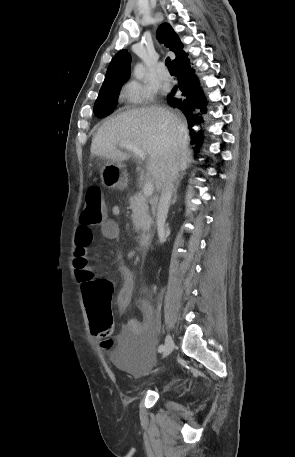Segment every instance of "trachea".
Instances as JSON below:
<instances>
[{
    "mask_svg": "<svg viewBox=\"0 0 295 457\" xmlns=\"http://www.w3.org/2000/svg\"><path fill=\"white\" fill-rule=\"evenodd\" d=\"M165 64H166V66H167V68L169 70H174L175 69L173 64H172V62H171V59L169 57L166 58Z\"/></svg>",
    "mask_w": 295,
    "mask_h": 457,
    "instance_id": "1",
    "label": "trachea"
}]
</instances>
